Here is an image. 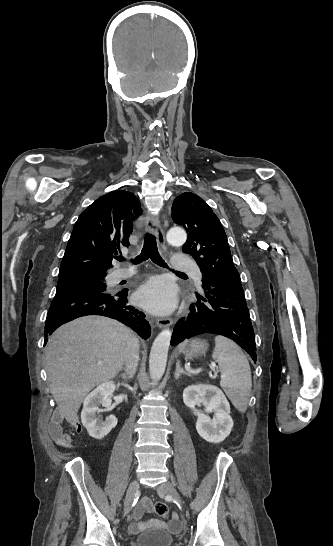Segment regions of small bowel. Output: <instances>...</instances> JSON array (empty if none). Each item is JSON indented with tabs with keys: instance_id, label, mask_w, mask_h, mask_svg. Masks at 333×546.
Instances as JSON below:
<instances>
[{
	"instance_id": "small-bowel-1",
	"label": "small bowel",
	"mask_w": 333,
	"mask_h": 546,
	"mask_svg": "<svg viewBox=\"0 0 333 546\" xmlns=\"http://www.w3.org/2000/svg\"><path fill=\"white\" fill-rule=\"evenodd\" d=\"M74 426L77 430V432H80V424L74 423ZM50 434L53 440L61 446L64 447H71L72 446V440L71 437L64 432L63 426H62V418L60 417H53L49 424ZM152 510V504L151 501L147 498H144L141 500L139 506L137 507L135 513H134V521L130 525V531L133 533L139 532L145 527V523H143L140 518L145 512H150ZM170 527H173L174 529L179 528L178 522H176V519L174 517L173 523H171Z\"/></svg>"
}]
</instances>
